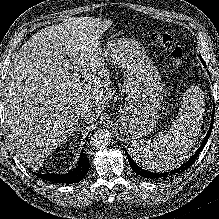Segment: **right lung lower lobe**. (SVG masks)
Returning a JSON list of instances; mask_svg holds the SVG:
<instances>
[{"label": "right lung lower lobe", "instance_id": "right-lung-lower-lobe-1", "mask_svg": "<svg viewBox=\"0 0 219 219\" xmlns=\"http://www.w3.org/2000/svg\"><path fill=\"white\" fill-rule=\"evenodd\" d=\"M88 169H89V159L84 155L82 151L80 154L77 167L70 173L67 174L34 173V174L39 178H42L43 180L70 184V183H77L79 180H81L87 174Z\"/></svg>", "mask_w": 219, "mask_h": 219}]
</instances>
